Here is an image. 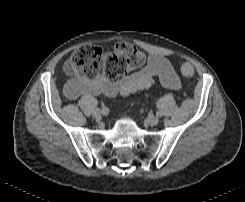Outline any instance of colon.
<instances>
[{"label": "colon", "mask_w": 245, "mask_h": 202, "mask_svg": "<svg viewBox=\"0 0 245 202\" xmlns=\"http://www.w3.org/2000/svg\"><path fill=\"white\" fill-rule=\"evenodd\" d=\"M146 62V54L129 42H119L114 49L103 51L92 45L77 48L66 60L65 71L75 78L95 79L105 74L110 79L122 78L130 70L142 67ZM184 76L193 73L191 64L185 62L180 66ZM73 81L66 89L70 91Z\"/></svg>", "instance_id": "obj_1"}]
</instances>
